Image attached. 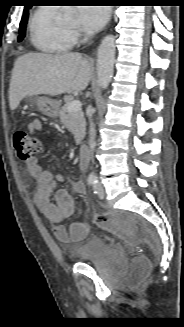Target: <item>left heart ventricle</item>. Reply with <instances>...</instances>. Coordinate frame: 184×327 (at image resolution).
Returning <instances> with one entry per match:
<instances>
[{
  "label": "left heart ventricle",
  "instance_id": "1",
  "mask_svg": "<svg viewBox=\"0 0 184 327\" xmlns=\"http://www.w3.org/2000/svg\"><path fill=\"white\" fill-rule=\"evenodd\" d=\"M75 25H76V20L73 18L65 26H66V28H72Z\"/></svg>",
  "mask_w": 184,
  "mask_h": 327
}]
</instances>
